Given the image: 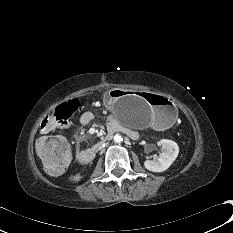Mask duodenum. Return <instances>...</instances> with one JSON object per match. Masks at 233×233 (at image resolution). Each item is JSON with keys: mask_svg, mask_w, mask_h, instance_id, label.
<instances>
[{"mask_svg": "<svg viewBox=\"0 0 233 233\" xmlns=\"http://www.w3.org/2000/svg\"><path fill=\"white\" fill-rule=\"evenodd\" d=\"M117 132H122V133L129 135V136H133V134H134L131 130L126 129V128L114 123V124L109 125V129H108L107 133L102 137L101 143L108 142L113 137V135ZM97 150H98L97 147H93V148L86 149V150H80L78 152V159H79L80 163H82V164L91 163L95 159V156L97 154Z\"/></svg>", "mask_w": 233, "mask_h": 233, "instance_id": "410a0bca", "label": "duodenum"}]
</instances>
